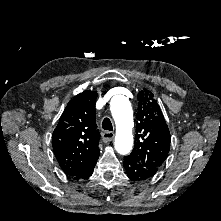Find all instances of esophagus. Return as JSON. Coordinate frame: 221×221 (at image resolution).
Listing matches in <instances>:
<instances>
[{"instance_id":"34e87169","label":"esophagus","mask_w":221,"mask_h":221,"mask_svg":"<svg viewBox=\"0 0 221 221\" xmlns=\"http://www.w3.org/2000/svg\"><path fill=\"white\" fill-rule=\"evenodd\" d=\"M102 138H103V140L104 141H112L113 140V138H114V133L113 132H111V131H105V132H103V134H102Z\"/></svg>"}]
</instances>
